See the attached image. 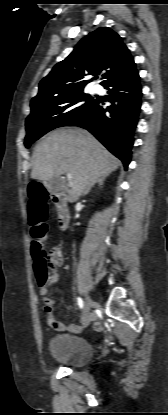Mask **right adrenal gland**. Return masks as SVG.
I'll return each mask as SVG.
<instances>
[{"instance_id": "1", "label": "right adrenal gland", "mask_w": 168, "mask_h": 415, "mask_svg": "<svg viewBox=\"0 0 168 415\" xmlns=\"http://www.w3.org/2000/svg\"><path fill=\"white\" fill-rule=\"evenodd\" d=\"M105 179H106V177H104V176L98 178L90 187L87 188V190L85 192V195H87L90 192L91 187H93L95 184H97L98 186L104 185Z\"/></svg>"}]
</instances>
